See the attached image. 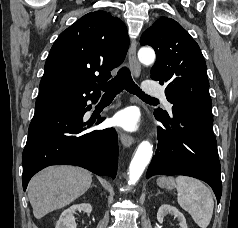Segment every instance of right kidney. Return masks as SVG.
I'll list each match as a JSON object with an SVG mask.
<instances>
[{"label": "right kidney", "mask_w": 238, "mask_h": 228, "mask_svg": "<svg viewBox=\"0 0 238 228\" xmlns=\"http://www.w3.org/2000/svg\"><path fill=\"white\" fill-rule=\"evenodd\" d=\"M76 211H84L86 213H91L92 206L89 203L72 205L71 207L62 212L59 220L56 223L55 228H76L74 217Z\"/></svg>", "instance_id": "obj_1"}]
</instances>
